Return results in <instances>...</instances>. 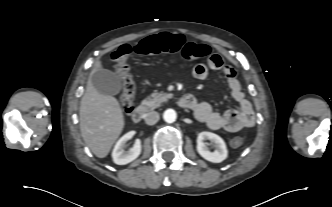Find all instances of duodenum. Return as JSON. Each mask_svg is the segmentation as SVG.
I'll use <instances>...</instances> for the list:
<instances>
[{"instance_id": "1", "label": "duodenum", "mask_w": 332, "mask_h": 207, "mask_svg": "<svg viewBox=\"0 0 332 207\" xmlns=\"http://www.w3.org/2000/svg\"><path fill=\"white\" fill-rule=\"evenodd\" d=\"M195 97L192 94H184L183 96H181L178 100V104L180 107L182 108H192L195 105ZM147 112V107L146 106H140L138 108H136L133 112H132V120L135 123H139L141 122Z\"/></svg>"}]
</instances>
